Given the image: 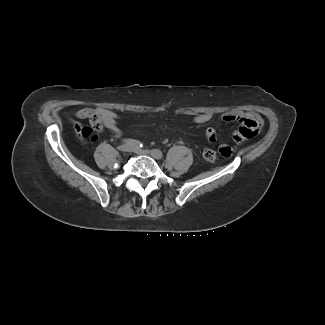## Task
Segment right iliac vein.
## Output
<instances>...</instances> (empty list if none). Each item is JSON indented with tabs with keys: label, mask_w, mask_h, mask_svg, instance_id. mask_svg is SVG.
<instances>
[{
	"label": "right iliac vein",
	"mask_w": 325,
	"mask_h": 325,
	"mask_svg": "<svg viewBox=\"0 0 325 325\" xmlns=\"http://www.w3.org/2000/svg\"><path fill=\"white\" fill-rule=\"evenodd\" d=\"M118 150L122 152H131V147L128 145H121L118 147Z\"/></svg>",
	"instance_id": "63e3f726"
}]
</instances>
